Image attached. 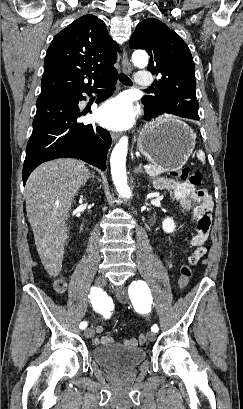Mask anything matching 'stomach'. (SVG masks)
Here are the masks:
<instances>
[{
    "mask_svg": "<svg viewBox=\"0 0 243 409\" xmlns=\"http://www.w3.org/2000/svg\"><path fill=\"white\" fill-rule=\"evenodd\" d=\"M196 135L175 117H160L146 125L137 140V150L165 171L182 168L195 148Z\"/></svg>",
    "mask_w": 243,
    "mask_h": 409,
    "instance_id": "1",
    "label": "stomach"
}]
</instances>
